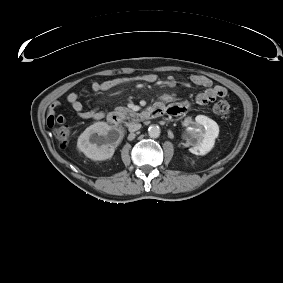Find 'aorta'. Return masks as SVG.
Here are the masks:
<instances>
[{"label":"aorta","mask_w":283,"mask_h":283,"mask_svg":"<svg viewBox=\"0 0 283 283\" xmlns=\"http://www.w3.org/2000/svg\"><path fill=\"white\" fill-rule=\"evenodd\" d=\"M161 130L158 125H150L148 128V134L151 138H158L160 136Z\"/></svg>","instance_id":"762f6f07"}]
</instances>
